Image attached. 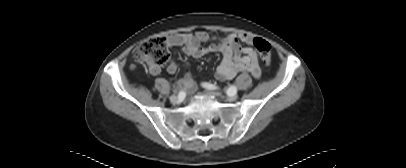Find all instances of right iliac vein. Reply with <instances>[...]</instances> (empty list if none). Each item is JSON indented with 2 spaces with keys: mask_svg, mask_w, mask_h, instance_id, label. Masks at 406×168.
Instances as JSON below:
<instances>
[{
  "mask_svg": "<svg viewBox=\"0 0 406 168\" xmlns=\"http://www.w3.org/2000/svg\"><path fill=\"white\" fill-rule=\"evenodd\" d=\"M170 101L172 102V103H176V102H178V100H179V98H178V96L177 95H172V96H170Z\"/></svg>",
  "mask_w": 406,
  "mask_h": 168,
  "instance_id": "right-iliac-vein-1",
  "label": "right iliac vein"
}]
</instances>
